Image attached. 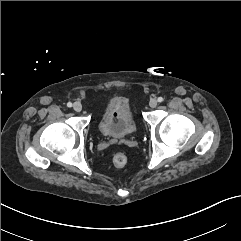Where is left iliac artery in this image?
<instances>
[{"label":"left iliac artery","mask_w":241,"mask_h":241,"mask_svg":"<svg viewBox=\"0 0 241 241\" xmlns=\"http://www.w3.org/2000/svg\"><path fill=\"white\" fill-rule=\"evenodd\" d=\"M157 100H158V102H163L164 99L162 97H158Z\"/></svg>","instance_id":"obj_1"}]
</instances>
